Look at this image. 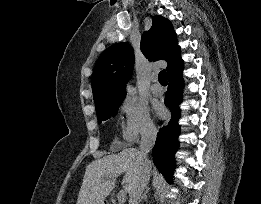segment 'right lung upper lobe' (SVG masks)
<instances>
[{
    "instance_id": "1",
    "label": "right lung upper lobe",
    "mask_w": 261,
    "mask_h": 204,
    "mask_svg": "<svg viewBox=\"0 0 261 204\" xmlns=\"http://www.w3.org/2000/svg\"><path fill=\"white\" fill-rule=\"evenodd\" d=\"M141 51L150 61L165 60L167 75L183 65L173 26L160 15L153 17L150 30L142 35ZM133 66L134 53L127 42L114 44L100 55L92 75L95 106L125 97L123 84L130 79Z\"/></svg>"
}]
</instances>
